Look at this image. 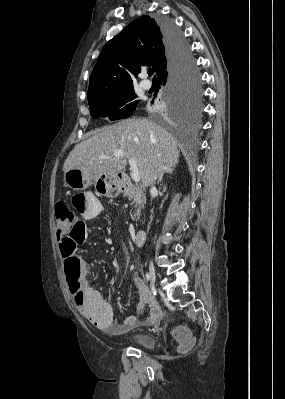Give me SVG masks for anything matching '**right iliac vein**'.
Returning <instances> with one entry per match:
<instances>
[{
  "label": "right iliac vein",
  "mask_w": 285,
  "mask_h": 399,
  "mask_svg": "<svg viewBox=\"0 0 285 399\" xmlns=\"http://www.w3.org/2000/svg\"><path fill=\"white\" fill-rule=\"evenodd\" d=\"M149 278H150L152 288L155 289V287H156V285H155V269H154V265H153L152 261H150V264H149Z\"/></svg>",
  "instance_id": "right-iliac-vein-1"
}]
</instances>
